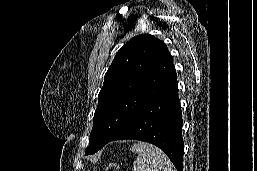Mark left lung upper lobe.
<instances>
[{"label": "left lung upper lobe", "mask_w": 257, "mask_h": 171, "mask_svg": "<svg viewBox=\"0 0 257 171\" xmlns=\"http://www.w3.org/2000/svg\"><path fill=\"white\" fill-rule=\"evenodd\" d=\"M173 66L163 41L150 34L130 39L105 74L85 154L119 134L158 91Z\"/></svg>", "instance_id": "1"}]
</instances>
